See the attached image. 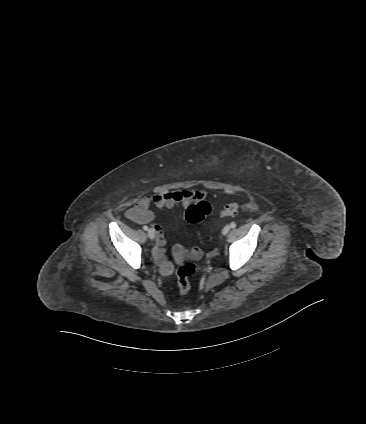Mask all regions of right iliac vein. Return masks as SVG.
I'll return each instance as SVG.
<instances>
[{"label":"right iliac vein","instance_id":"right-iliac-vein-1","mask_svg":"<svg viewBox=\"0 0 366 424\" xmlns=\"http://www.w3.org/2000/svg\"><path fill=\"white\" fill-rule=\"evenodd\" d=\"M148 237H149L150 239H154V238H155V232H154V230H153V229H149V230H148Z\"/></svg>","mask_w":366,"mask_h":424}]
</instances>
